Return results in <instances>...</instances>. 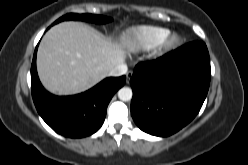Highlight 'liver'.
Listing matches in <instances>:
<instances>
[{"mask_svg":"<svg viewBox=\"0 0 248 165\" xmlns=\"http://www.w3.org/2000/svg\"><path fill=\"white\" fill-rule=\"evenodd\" d=\"M112 42L81 22L67 21L53 26L43 37L37 53V71L43 86L58 95L84 92L126 59L125 46Z\"/></svg>","mask_w":248,"mask_h":165,"instance_id":"1","label":"liver"}]
</instances>
